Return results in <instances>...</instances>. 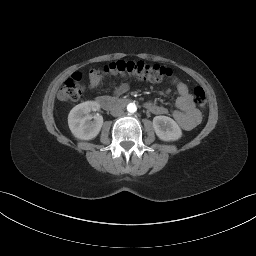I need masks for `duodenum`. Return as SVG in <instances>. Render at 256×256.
I'll use <instances>...</instances> for the list:
<instances>
[{
  "label": "duodenum",
  "mask_w": 256,
  "mask_h": 256,
  "mask_svg": "<svg viewBox=\"0 0 256 256\" xmlns=\"http://www.w3.org/2000/svg\"><path fill=\"white\" fill-rule=\"evenodd\" d=\"M97 102L105 110H113L118 107H124L132 102L130 98H115L109 96H100L97 99Z\"/></svg>",
  "instance_id": "1"
}]
</instances>
